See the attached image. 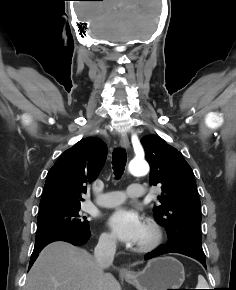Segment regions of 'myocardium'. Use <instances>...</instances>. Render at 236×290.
Returning <instances> with one entry per match:
<instances>
[{
  "label": "myocardium",
  "mask_w": 236,
  "mask_h": 290,
  "mask_svg": "<svg viewBox=\"0 0 236 290\" xmlns=\"http://www.w3.org/2000/svg\"><path fill=\"white\" fill-rule=\"evenodd\" d=\"M145 237L138 242L136 250L140 252H147L154 250L162 240V231L157 223L154 221H147L144 226Z\"/></svg>",
  "instance_id": "myocardium-1"
}]
</instances>
